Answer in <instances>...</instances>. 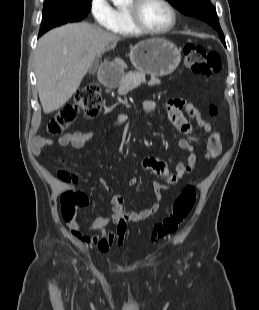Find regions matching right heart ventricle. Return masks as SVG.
I'll use <instances>...</instances> for the list:
<instances>
[{"label":"right heart ventricle","instance_id":"obj_1","mask_svg":"<svg viewBox=\"0 0 259 310\" xmlns=\"http://www.w3.org/2000/svg\"><path fill=\"white\" fill-rule=\"evenodd\" d=\"M115 12H116V25L112 30L120 35H126V36L136 33L129 23L126 10L123 8H118Z\"/></svg>","mask_w":259,"mask_h":310}]
</instances>
